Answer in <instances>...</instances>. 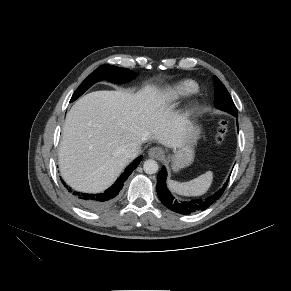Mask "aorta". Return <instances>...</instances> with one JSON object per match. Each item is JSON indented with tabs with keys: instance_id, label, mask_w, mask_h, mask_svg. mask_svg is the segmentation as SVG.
<instances>
[{
	"instance_id": "762f6f07",
	"label": "aorta",
	"mask_w": 291,
	"mask_h": 291,
	"mask_svg": "<svg viewBox=\"0 0 291 291\" xmlns=\"http://www.w3.org/2000/svg\"><path fill=\"white\" fill-rule=\"evenodd\" d=\"M158 163L153 159H148L143 164V169L147 174H155L158 171Z\"/></svg>"
}]
</instances>
